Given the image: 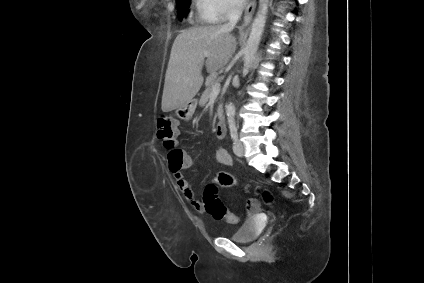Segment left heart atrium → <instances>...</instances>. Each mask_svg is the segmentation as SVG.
Returning <instances> with one entry per match:
<instances>
[{"label": "left heart atrium", "mask_w": 424, "mask_h": 283, "mask_svg": "<svg viewBox=\"0 0 424 283\" xmlns=\"http://www.w3.org/2000/svg\"><path fill=\"white\" fill-rule=\"evenodd\" d=\"M240 1V3H243L245 0H239Z\"/></svg>", "instance_id": "1"}]
</instances>
